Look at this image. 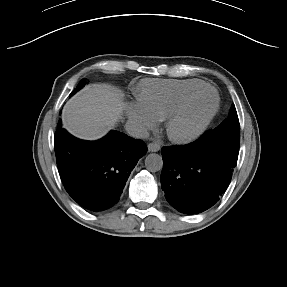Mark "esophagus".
<instances>
[{"label":"esophagus","instance_id":"34e87169","mask_svg":"<svg viewBox=\"0 0 287 287\" xmlns=\"http://www.w3.org/2000/svg\"><path fill=\"white\" fill-rule=\"evenodd\" d=\"M160 150V144L157 142H151L148 144L149 152H158Z\"/></svg>","mask_w":287,"mask_h":287}]
</instances>
